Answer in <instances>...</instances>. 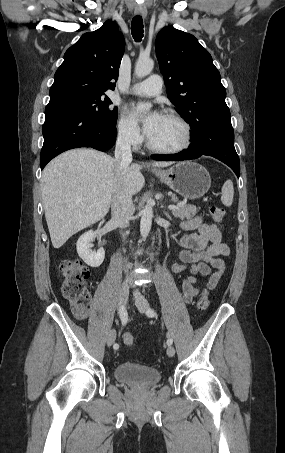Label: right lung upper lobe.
<instances>
[{"instance_id": "right-lung-upper-lobe-1", "label": "right lung upper lobe", "mask_w": 285, "mask_h": 453, "mask_svg": "<svg viewBox=\"0 0 285 453\" xmlns=\"http://www.w3.org/2000/svg\"><path fill=\"white\" fill-rule=\"evenodd\" d=\"M125 41L117 24L108 20L101 28L88 32L64 54L54 76L50 98L72 92L104 94L114 90Z\"/></svg>"}]
</instances>
